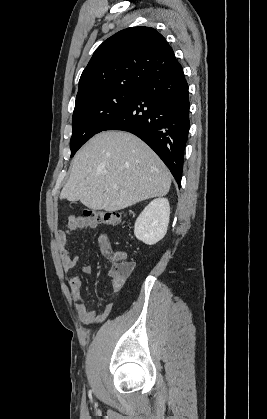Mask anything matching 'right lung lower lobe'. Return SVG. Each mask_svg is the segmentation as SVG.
<instances>
[{
  "label": "right lung lower lobe",
  "mask_w": 267,
  "mask_h": 419,
  "mask_svg": "<svg viewBox=\"0 0 267 419\" xmlns=\"http://www.w3.org/2000/svg\"><path fill=\"white\" fill-rule=\"evenodd\" d=\"M189 93L178 61L156 72L102 131L122 130L146 142L181 185L184 150L190 128Z\"/></svg>",
  "instance_id": "98d812e1"
}]
</instances>
